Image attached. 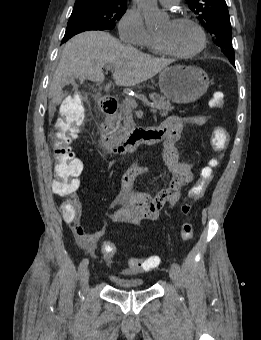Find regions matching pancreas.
Masks as SVG:
<instances>
[{"instance_id":"1","label":"pancreas","mask_w":261,"mask_h":340,"mask_svg":"<svg viewBox=\"0 0 261 340\" xmlns=\"http://www.w3.org/2000/svg\"><path fill=\"white\" fill-rule=\"evenodd\" d=\"M149 98L154 102V104L157 106V109L160 111V115L165 117L168 115L170 111L174 109V107L171 105L170 101L167 100L165 97L160 96L157 93H151L149 95ZM135 127V123L133 120L132 115V108L128 106L123 101L120 112L117 114V135L120 137L125 136L129 133L130 130H132Z\"/></svg>"}]
</instances>
